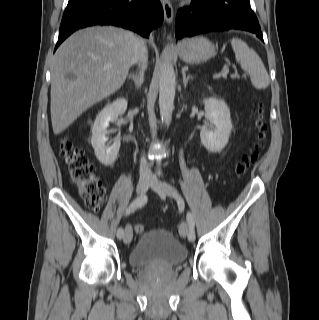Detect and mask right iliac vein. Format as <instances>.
Listing matches in <instances>:
<instances>
[{
	"label": "right iliac vein",
	"instance_id": "1",
	"mask_svg": "<svg viewBox=\"0 0 319 320\" xmlns=\"http://www.w3.org/2000/svg\"><path fill=\"white\" fill-rule=\"evenodd\" d=\"M149 184H150L149 178H141L138 181L137 186H136L137 194L143 195L147 191ZM132 237H133L132 228H131V226H127L125 229V232H124V237H123L124 243L129 244L132 241Z\"/></svg>",
	"mask_w": 319,
	"mask_h": 320
}]
</instances>
